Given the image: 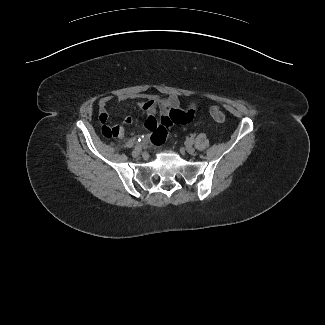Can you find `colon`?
I'll list each match as a JSON object with an SVG mask.
<instances>
[{"instance_id":"5ec220e1","label":"colon","mask_w":325,"mask_h":325,"mask_svg":"<svg viewBox=\"0 0 325 325\" xmlns=\"http://www.w3.org/2000/svg\"><path fill=\"white\" fill-rule=\"evenodd\" d=\"M210 114L212 118L219 123H223L225 121V115L220 111V109L217 106L210 107ZM102 134L106 138L115 137L118 134V128L103 127Z\"/></svg>"}]
</instances>
